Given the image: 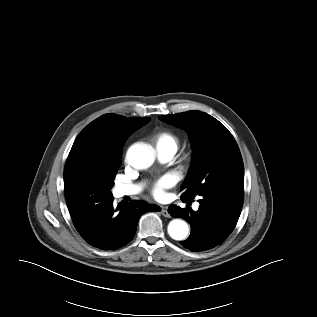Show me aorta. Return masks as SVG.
Masks as SVG:
<instances>
[{
	"label": "aorta",
	"instance_id": "762f6f07",
	"mask_svg": "<svg viewBox=\"0 0 317 317\" xmlns=\"http://www.w3.org/2000/svg\"><path fill=\"white\" fill-rule=\"evenodd\" d=\"M129 164L136 169H147L155 161V153L148 145H133L127 152ZM189 233L187 223L181 219H173L168 224V234L174 240H184Z\"/></svg>",
	"mask_w": 317,
	"mask_h": 317
}]
</instances>
